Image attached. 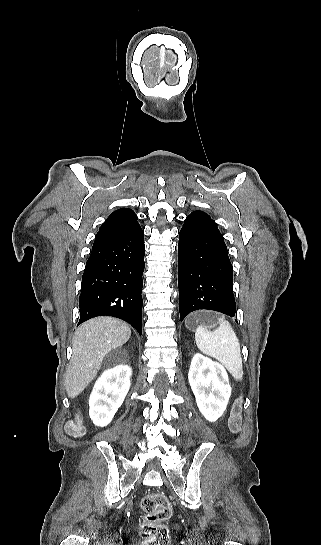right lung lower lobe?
<instances>
[{
  "mask_svg": "<svg viewBox=\"0 0 321 545\" xmlns=\"http://www.w3.org/2000/svg\"><path fill=\"white\" fill-rule=\"evenodd\" d=\"M144 232L139 224L94 242L82 276L80 320L113 316L141 335Z\"/></svg>",
  "mask_w": 321,
  "mask_h": 545,
  "instance_id": "obj_1",
  "label": "right lung lower lobe"
}]
</instances>
